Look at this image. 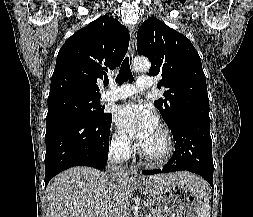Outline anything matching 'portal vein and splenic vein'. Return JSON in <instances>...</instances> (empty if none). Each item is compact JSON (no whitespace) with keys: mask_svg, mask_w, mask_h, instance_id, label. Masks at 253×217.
<instances>
[{"mask_svg":"<svg viewBox=\"0 0 253 217\" xmlns=\"http://www.w3.org/2000/svg\"><path fill=\"white\" fill-rule=\"evenodd\" d=\"M145 217H152V215H151V214H148V215H146Z\"/></svg>","mask_w":253,"mask_h":217,"instance_id":"portal-vein-and-splenic-vein-1","label":"portal vein and splenic vein"}]
</instances>
